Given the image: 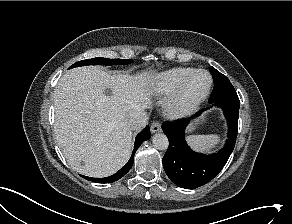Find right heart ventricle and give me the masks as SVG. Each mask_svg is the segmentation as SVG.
<instances>
[{
  "label": "right heart ventricle",
  "instance_id": "right-heart-ventricle-1",
  "mask_svg": "<svg viewBox=\"0 0 292 224\" xmlns=\"http://www.w3.org/2000/svg\"><path fill=\"white\" fill-rule=\"evenodd\" d=\"M194 70L196 69L191 67H176L168 69L152 78L151 88L157 95L170 96L174 93L183 79Z\"/></svg>",
  "mask_w": 292,
  "mask_h": 224
}]
</instances>
